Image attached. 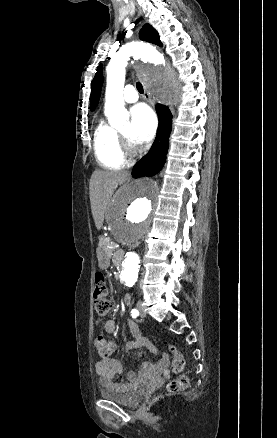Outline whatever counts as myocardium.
<instances>
[{"label":"myocardium","mask_w":277,"mask_h":438,"mask_svg":"<svg viewBox=\"0 0 277 438\" xmlns=\"http://www.w3.org/2000/svg\"><path fill=\"white\" fill-rule=\"evenodd\" d=\"M119 139L127 154H131L134 152V146L128 137L120 133Z\"/></svg>","instance_id":"f54148a6"}]
</instances>
